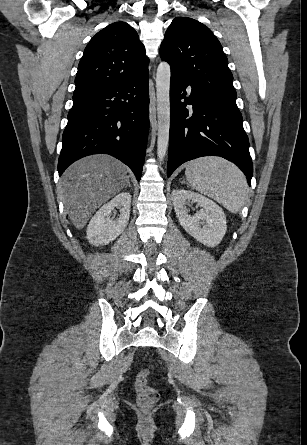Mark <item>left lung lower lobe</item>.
<instances>
[{"instance_id":"left-lung-lower-lobe-1","label":"left lung lower lobe","mask_w":307,"mask_h":445,"mask_svg":"<svg viewBox=\"0 0 307 445\" xmlns=\"http://www.w3.org/2000/svg\"><path fill=\"white\" fill-rule=\"evenodd\" d=\"M171 72L170 139L167 176L182 163L202 157L221 156L235 163L251 184L253 165L248 137L236 101L214 97L192 87ZM191 104L192 108H186Z\"/></svg>"}]
</instances>
